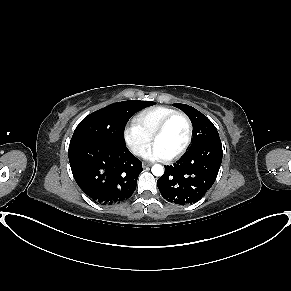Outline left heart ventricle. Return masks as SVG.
Segmentation results:
<instances>
[{"label":"left heart ventricle","instance_id":"obj_1","mask_svg":"<svg viewBox=\"0 0 291 291\" xmlns=\"http://www.w3.org/2000/svg\"><path fill=\"white\" fill-rule=\"evenodd\" d=\"M187 138V125L182 117L174 118L163 134L154 143L158 144L169 156L184 145Z\"/></svg>","mask_w":291,"mask_h":291}]
</instances>
